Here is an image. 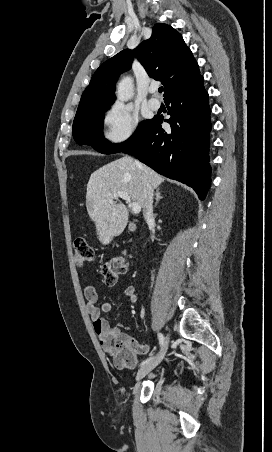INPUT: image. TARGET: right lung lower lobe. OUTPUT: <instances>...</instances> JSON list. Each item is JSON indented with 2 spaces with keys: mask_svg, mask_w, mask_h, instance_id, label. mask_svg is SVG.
<instances>
[{
  "mask_svg": "<svg viewBox=\"0 0 272 452\" xmlns=\"http://www.w3.org/2000/svg\"><path fill=\"white\" fill-rule=\"evenodd\" d=\"M202 76L165 98L171 125L155 116L141 136L122 152L134 155L156 172L192 187L204 200L210 187L208 93Z\"/></svg>",
  "mask_w": 272,
  "mask_h": 452,
  "instance_id": "obj_1",
  "label": "right lung lower lobe"
}]
</instances>
